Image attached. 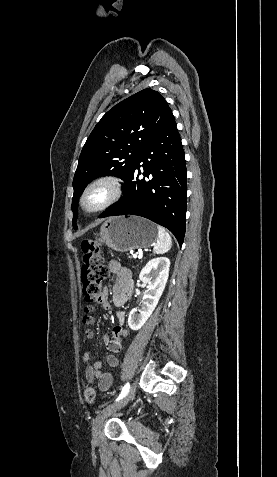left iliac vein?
I'll return each mask as SVG.
<instances>
[{
  "label": "left iliac vein",
  "mask_w": 277,
  "mask_h": 477,
  "mask_svg": "<svg viewBox=\"0 0 277 477\" xmlns=\"http://www.w3.org/2000/svg\"><path fill=\"white\" fill-rule=\"evenodd\" d=\"M135 390H136V382L133 383L128 393L123 398H121L114 404H111L105 407L101 412L98 413L96 418L93 420V425H92V435H93L94 442H99L100 440L101 429H102L104 420L110 415H112L113 413L125 407L128 404V402L134 397Z\"/></svg>",
  "instance_id": "obj_1"
}]
</instances>
